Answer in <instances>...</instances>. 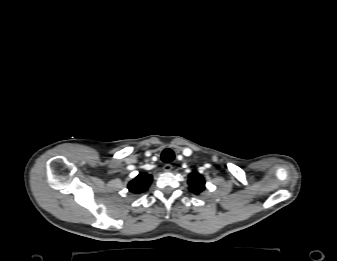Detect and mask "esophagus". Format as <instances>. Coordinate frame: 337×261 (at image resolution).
I'll return each instance as SVG.
<instances>
[{
  "label": "esophagus",
  "mask_w": 337,
  "mask_h": 261,
  "mask_svg": "<svg viewBox=\"0 0 337 261\" xmlns=\"http://www.w3.org/2000/svg\"><path fill=\"white\" fill-rule=\"evenodd\" d=\"M172 168H173V166L171 165V164H165L164 166H163V170L165 171V172H170L171 170H172Z\"/></svg>",
  "instance_id": "1"
}]
</instances>
